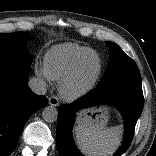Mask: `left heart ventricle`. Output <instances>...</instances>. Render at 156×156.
Masks as SVG:
<instances>
[{"mask_svg":"<svg viewBox=\"0 0 156 156\" xmlns=\"http://www.w3.org/2000/svg\"><path fill=\"white\" fill-rule=\"evenodd\" d=\"M96 72L97 59L95 57H89L82 67L80 75L76 81V86L81 87L88 84L94 78Z\"/></svg>","mask_w":156,"mask_h":156,"instance_id":"b2bd125f","label":"left heart ventricle"}]
</instances>
